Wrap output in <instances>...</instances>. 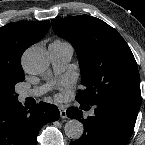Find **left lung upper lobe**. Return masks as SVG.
Returning <instances> with one entry per match:
<instances>
[{
    "label": "left lung upper lobe",
    "mask_w": 145,
    "mask_h": 145,
    "mask_svg": "<svg viewBox=\"0 0 145 145\" xmlns=\"http://www.w3.org/2000/svg\"><path fill=\"white\" fill-rule=\"evenodd\" d=\"M51 23L54 32L76 49L85 86L76 95L77 101L92 105L115 98H141L135 58L114 28L89 15Z\"/></svg>",
    "instance_id": "left-lung-upper-lobe-1"
}]
</instances>
